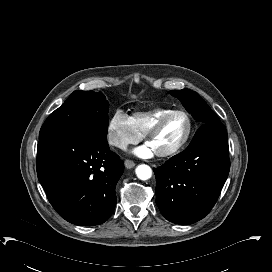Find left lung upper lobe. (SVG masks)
Wrapping results in <instances>:
<instances>
[{
	"instance_id": "obj_1",
	"label": "left lung upper lobe",
	"mask_w": 272,
	"mask_h": 272,
	"mask_svg": "<svg viewBox=\"0 0 272 272\" xmlns=\"http://www.w3.org/2000/svg\"><path fill=\"white\" fill-rule=\"evenodd\" d=\"M170 93L178 98L186 110L192 116L204 123L220 122L217 115L211 110L207 103L194 91L189 89L173 90Z\"/></svg>"
}]
</instances>
